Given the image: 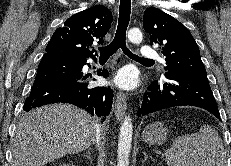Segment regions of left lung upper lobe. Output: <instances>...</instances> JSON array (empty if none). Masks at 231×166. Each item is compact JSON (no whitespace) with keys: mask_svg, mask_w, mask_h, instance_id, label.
Here are the masks:
<instances>
[{"mask_svg":"<svg viewBox=\"0 0 231 166\" xmlns=\"http://www.w3.org/2000/svg\"><path fill=\"white\" fill-rule=\"evenodd\" d=\"M143 28L150 34V43L161 46L166 57V71L206 74L200 51L189 30L162 10L149 7L143 15Z\"/></svg>","mask_w":231,"mask_h":166,"instance_id":"left-lung-upper-lobe-1","label":"left lung upper lobe"}]
</instances>
